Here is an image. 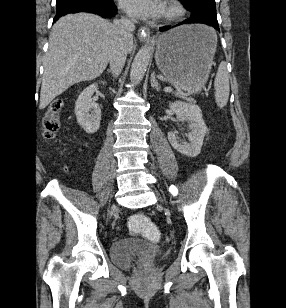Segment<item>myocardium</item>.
<instances>
[{
	"label": "myocardium",
	"instance_id": "1",
	"mask_svg": "<svg viewBox=\"0 0 286 308\" xmlns=\"http://www.w3.org/2000/svg\"><path fill=\"white\" fill-rule=\"evenodd\" d=\"M184 14V8L177 0H166L163 5L162 20L174 21Z\"/></svg>",
	"mask_w": 286,
	"mask_h": 308
}]
</instances>
